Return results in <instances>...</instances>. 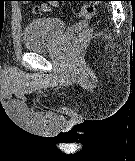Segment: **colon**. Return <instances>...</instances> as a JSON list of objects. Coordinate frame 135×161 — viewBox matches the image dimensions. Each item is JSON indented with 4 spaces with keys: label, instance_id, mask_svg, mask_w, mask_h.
Listing matches in <instances>:
<instances>
[{
    "label": "colon",
    "instance_id": "obj_1",
    "mask_svg": "<svg viewBox=\"0 0 135 161\" xmlns=\"http://www.w3.org/2000/svg\"><path fill=\"white\" fill-rule=\"evenodd\" d=\"M94 12V8L92 5H83L80 8V15L82 17H90ZM92 30L91 29H87L85 31H83L78 38L75 40V45L77 47H79L80 45L83 44V42L91 35Z\"/></svg>",
    "mask_w": 135,
    "mask_h": 161
}]
</instances>
